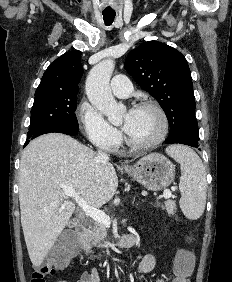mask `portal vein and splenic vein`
I'll list each match as a JSON object with an SVG mask.
<instances>
[{
    "label": "portal vein and splenic vein",
    "instance_id": "obj_1",
    "mask_svg": "<svg viewBox=\"0 0 232 282\" xmlns=\"http://www.w3.org/2000/svg\"><path fill=\"white\" fill-rule=\"evenodd\" d=\"M63 189V193L66 197L73 198L77 204L80 206V208L84 211L86 215L91 217L94 221L101 223L105 225L106 227H109L111 225V220L109 215L104 213L103 211L89 205L83 198L80 197V195L72 188L66 185L60 186ZM172 196V193L170 190H165L163 192V197L165 199H168Z\"/></svg>",
    "mask_w": 232,
    "mask_h": 282
}]
</instances>
